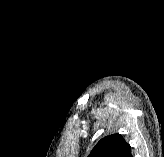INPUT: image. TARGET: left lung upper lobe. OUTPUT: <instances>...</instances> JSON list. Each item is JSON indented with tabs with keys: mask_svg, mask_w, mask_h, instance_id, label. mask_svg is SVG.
I'll use <instances>...</instances> for the list:
<instances>
[{
	"mask_svg": "<svg viewBox=\"0 0 164 157\" xmlns=\"http://www.w3.org/2000/svg\"><path fill=\"white\" fill-rule=\"evenodd\" d=\"M131 147L119 134L102 138L92 149L88 157H129Z\"/></svg>",
	"mask_w": 164,
	"mask_h": 157,
	"instance_id": "5c2ea615",
	"label": "left lung upper lobe"
}]
</instances>
